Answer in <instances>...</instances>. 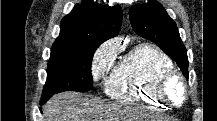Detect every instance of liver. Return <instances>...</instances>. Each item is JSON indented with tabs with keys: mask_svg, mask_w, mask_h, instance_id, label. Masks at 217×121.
I'll use <instances>...</instances> for the list:
<instances>
[{
	"mask_svg": "<svg viewBox=\"0 0 217 121\" xmlns=\"http://www.w3.org/2000/svg\"><path fill=\"white\" fill-rule=\"evenodd\" d=\"M44 121H135L138 111L121 105L104 104L76 92L53 96L45 105Z\"/></svg>",
	"mask_w": 217,
	"mask_h": 121,
	"instance_id": "6515ba94",
	"label": "liver"
}]
</instances>
